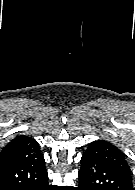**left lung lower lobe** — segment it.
<instances>
[{
    "label": "left lung lower lobe",
    "mask_w": 135,
    "mask_h": 190,
    "mask_svg": "<svg viewBox=\"0 0 135 190\" xmlns=\"http://www.w3.org/2000/svg\"><path fill=\"white\" fill-rule=\"evenodd\" d=\"M78 190H133L132 180L106 161L83 155Z\"/></svg>",
    "instance_id": "1"
}]
</instances>
